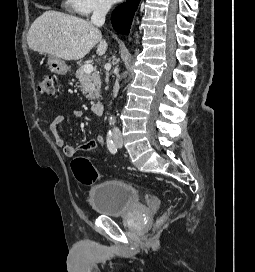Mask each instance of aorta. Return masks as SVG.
Returning <instances> with one entry per match:
<instances>
[{"mask_svg": "<svg viewBox=\"0 0 255 272\" xmlns=\"http://www.w3.org/2000/svg\"><path fill=\"white\" fill-rule=\"evenodd\" d=\"M114 117L113 116H111L110 118H109V121H110V123H114Z\"/></svg>", "mask_w": 255, "mask_h": 272, "instance_id": "1", "label": "aorta"}]
</instances>
